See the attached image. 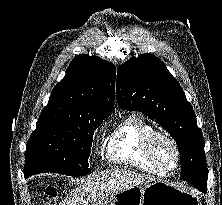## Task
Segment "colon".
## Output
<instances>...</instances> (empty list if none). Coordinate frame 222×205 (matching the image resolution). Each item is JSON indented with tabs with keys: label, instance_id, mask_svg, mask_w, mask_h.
Instances as JSON below:
<instances>
[{
	"label": "colon",
	"instance_id": "obj_1",
	"mask_svg": "<svg viewBox=\"0 0 222 205\" xmlns=\"http://www.w3.org/2000/svg\"><path fill=\"white\" fill-rule=\"evenodd\" d=\"M58 195V189L50 186L46 189V198H45V205H53L54 199Z\"/></svg>",
	"mask_w": 222,
	"mask_h": 205
}]
</instances>
